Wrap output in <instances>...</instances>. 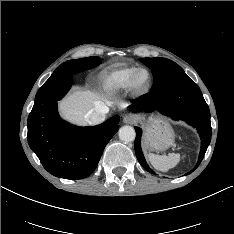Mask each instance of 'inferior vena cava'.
I'll use <instances>...</instances> for the list:
<instances>
[{
	"label": "inferior vena cava",
	"mask_w": 234,
	"mask_h": 234,
	"mask_svg": "<svg viewBox=\"0 0 234 234\" xmlns=\"http://www.w3.org/2000/svg\"><path fill=\"white\" fill-rule=\"evenodd\" d=\"M108 112L109 108L105 103H98L95 109L86 113L85 120L91 125L100 124L105 121Z\"/></svg>",
	"instance_id": "602c4592"
}]
</instances>
